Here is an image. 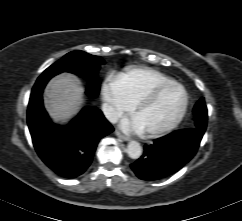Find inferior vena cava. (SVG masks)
<instances>
[{"instance_id":"inferior-vena-cava-1","label":"inferior vena cava","mask_w":242,"mask_h":221,"mask_svg":"<svg viewBox=\"0 0 242 221\" xmlns=\"http://www.w3.org/2000/svg\"><path fill=\"white\" fill-rule=\"evenodd\" d=\"M102 111L105 117L112 123H116L119 119V112L109 103H103Z\"/></svg>"}]
</instances>
